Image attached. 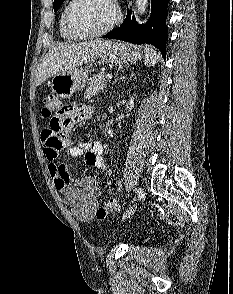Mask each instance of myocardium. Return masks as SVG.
Listing matches in <instances>:
<instances>
[{"label": "myocardium", "mask_w": 233, "mask_h": 294, "mask_svg": "<svg viewBox=\"0 0 233 294\" xmlns=\"http://www.w3.org/2000/svg\"><path fill=\"white\" fill-rule=\"evenodd\" d=\"M79 1L80 0H71L69 2V4H68V6H67V8L65 10V14H64V24H65L66 29L68 30V32L70 34H72L77 39H91V38L101 37V36L109 33L115 26L118 25V23L121 20V11H120V8H119L116 0H107V2L111 4V6L113 7V10H114V15H113L112 20L103 29H101L99 31L92 32V33L78 32L71 25L70 14H71V11H72L73 7Z\"/></svg>", "instance_id": "obj_1"}]
</instances>
